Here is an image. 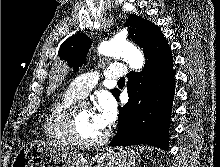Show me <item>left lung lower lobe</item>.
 Segmentation results:
<instances>
[{
	"label": "left lung lower lobe",
	"mask_w": 220,
	"mask_h": 167,
	"mask_svg": "<svg viewBox=\"0 0 220 167\" xmlns=\"http://www.w3.org/2000/svg\"><path fill=\"white\" fill-rule=\"evenodd\" d=\"M174 86L170 50L148 57L141 73L130 72L129 101L118 108L119 127L109 146L148 144L167 150ZM119 95L115 96L117 100Z\"/></svg>",
	"instance_id": "1"
}]
</instances>
